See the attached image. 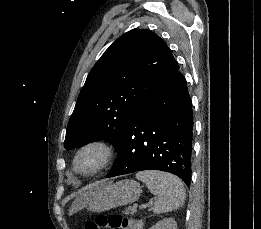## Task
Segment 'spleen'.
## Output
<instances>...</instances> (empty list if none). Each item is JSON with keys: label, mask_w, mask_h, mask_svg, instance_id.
I'll return each instance as SVG.
<instances>
[{"label": "spleen", "mask_w": 261, "mask_h": 229, "mask_svg": "<svg viewBox=\"0 0 261 229\" xmlns=\"http://www.w3.org/2000/svg\"><path fill=\"white\" fill-rule=\"evenodd\" d=\"M145 183L152 195H157L153 213H171L185 203V187L178 177L164 171H139L135 175Z\"/></svg>", "instance_id": "obj_1"}]
</instances>
